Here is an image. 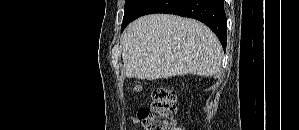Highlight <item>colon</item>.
Returning a JSON list of instances; mask_svg holds the SVG:
<instances>
[{
    "label": "colon",
    "instance_id": "obj_1",
    "mask_svg": "<svg viewBox=\"0 0 299 130\" xmlns=\"http://www.w3.org/2000/svg\"><path fill=\"white\" fill-rule=\"evenodd\" d=\"M139 91L140 86L134 88ZM176 95L170 87H159L152 93L149 107L139 110L142 130H182L175 121Z\"/></svg>",
    "mask_w": 299,
    "mask_h": 130
}]
</instances>
